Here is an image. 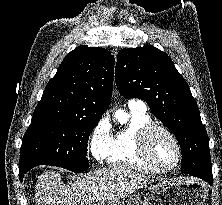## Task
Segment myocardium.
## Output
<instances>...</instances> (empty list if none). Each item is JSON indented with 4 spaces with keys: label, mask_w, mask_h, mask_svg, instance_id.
Instances as JSON below:
<instances>
[{
    "label": "myocardium",
    "mask_w": 222,
    "mask_h": 205,
    "mask_svg": "<svg viewBox=\"0 0 222 205\" xmlns=\"http://www.w3.org/2000/svg\"><path fill=\"white\" fill-rule=\"evenodd\" d=\"M156 131L163 132L165 135H167L174 143L177 151V157L174 164L170 167H163L160 166L155 162V160L152 158L151 153L148 148V139L150 135ZM137 146L140 156L143 158V160L148 163L152 168H154L156 171L160 173H168L176 168L181 163L182 160V147L178 140V138L175 136V134L166 126L160 125V124H154L151 123L145 127H143L137 135Z\"/></svg>",
    "instance_id": "myocardium-1"
}]
</instances>
